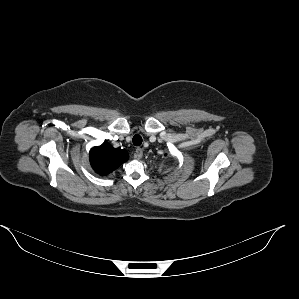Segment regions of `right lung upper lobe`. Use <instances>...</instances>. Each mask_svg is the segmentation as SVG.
Masks as SVG:
<instances>
[{"label":"right lung upper lobe","mask_w":299,"mask_h":299,"mask_svg":"<svg viewBox=\"0 0 299 299\" xmlns=\"http://www.w3.org/2000/svg\"><path fill=\"white\" fill-rule=\"evenodd\" d=\"M89 158L96 173L107 175L127 161L129 155L121 148H114L104 143L101 146L92 148Z\"/></svg>","instance_id":"cb5924a9"}]
</instances>
